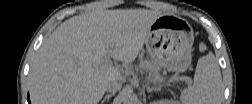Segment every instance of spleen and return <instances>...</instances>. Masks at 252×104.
<instances>
[{"label": "spleen", "mask_w": 252, "mask_h": 104, "mask_svg": "<svg viewBox=\"0 0 252 104\" xmlns=\"http://www.w3.org/2000/svg\"><path fill=\"white\" fill-rule=\"evenodd\" d=\"M206 46L200 44V50ZM223 96L222 76L215 56L208 53L199 58L193 85L181 93L180 99L184 104H219Z\"/></svg>", "instance_id": "1"}]
</instances>
